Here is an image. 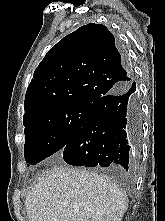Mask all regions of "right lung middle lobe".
<instances>
[{"label": "right lung middle lobe", "instance_id": "right-lung-middle-lobe-1", "mask_svg": "<svg viewBox=\"0 0 165 221\" xmlns=\"http://www.w3.org/2000/svg\"><path fill=\"white\" fill-rule=\"evenodd\" d=\"M91 109L90 104L58 106L23 120L26 162L34 165L63 150L89 119Z\"/></svg>", "mask_w": 165, "mask_h": 221}]
</instances>
